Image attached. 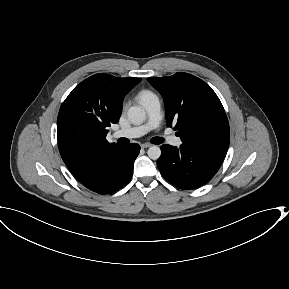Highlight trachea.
<instances>
[{"label": "trachea", "mask_w": 289, "mask_h": 289, "mask_svg": "<svg viewBox=\"0 0 289 289\" xmlns=\"http://www.w3.org/2000/svg\"><path fill=\"white\" fill-rule=\"evenodd\" d=\"M163 142H164V139L161 137H155L152 139V143H154V144H161Z\"/></svg>", "instance_id": "trachea-1"}]
</instances>
